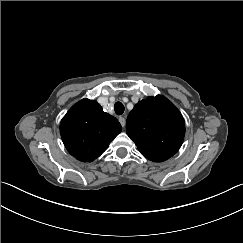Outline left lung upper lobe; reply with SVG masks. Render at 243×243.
Instances as JSON below:
<instances>
[{
	"mask_svg": "<svg viewBox=\"0 0 243 243\" xmlns=\"http://www.w3.org/2000/svg\"><path fill=\"white\" fill-rule=\"evenodd\" d=\"M126 132L140 153L154 162L172 157L181 147L185 122L179 110L164 96L148 97L129 113Z\"/></svg>",
	"mask_w": 243,
	"mask_h": 243,
	"instance_id": "5c2ea615",
	"label": "left lung upper lobe"
}]
</instances>
